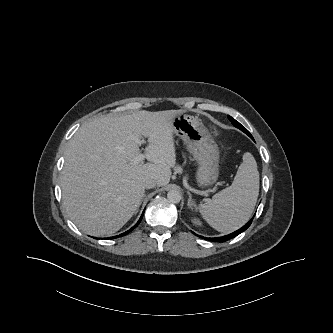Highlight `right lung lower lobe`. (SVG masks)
Wrapping results in <instances>:
<instances>
[{
    "mask_svg": "<svg viewBox=\"0 0 333 333\" xmlns=\"http://www.w3.org/2000/svg\"><path fill=\"white\" fill-rule=\"evenodd\" d=\"M143 213H144V212H143ZM142 217H143V214L141 215L139 221H138V222H137V223H136L131 229H129L128 231L122 233L120 236L126 235V234H128L129 232H131L134 228H136V227L138 226V224L141 222ZM115 237H117V236H114V237H111V238H115Z\"/></svg>",
    "mask_w": 333,
    "mask_h": 333,
    "instance_id": "right-lung-lower-lobe-1",
    "label": "right lung lower lobe"
}]
</instances>
